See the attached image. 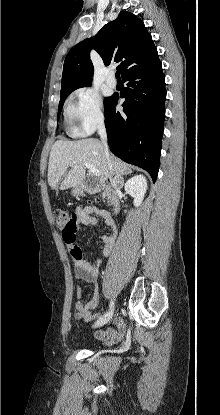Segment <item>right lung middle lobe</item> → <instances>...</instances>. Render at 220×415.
<instances>
[{
	"instance_id": "dd1d6c3e",
	"label": "right lung middle lobe",
	"mask_w": 220,
	"mask_h": 415,
	"mask_svg": "<svg viewBox=\"0 0 220 415\" xmlns=\"http://www.w3.org/2000/svg\"><path fill=\"white\" fill-rule=\"evenodd\" d=\"M82 87H84V86H82ZM77 88H79V87H77ZM77 88H74V89H71V90H69V91H67V92H64V93H62V94H60V102H59V111H58V116H59V114H60V112H61V110H62V107H63V104H64V101H65V99H66V97L72 92V91H74L75 89H77ZM109 99H110V97H108V98H105V101H104V106H105V108H106V106H107V104H108V102H109Z\"/></svg>"
}]
</instances>
